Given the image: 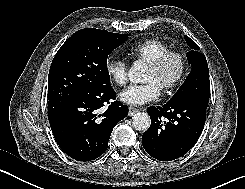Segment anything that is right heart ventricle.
<instances>
[{
	"label": "right heart ventricle",
	"mask_w": 245,
	"mask_h": 189,
	"mask_svg": "<svg viewBox=\"0 0 245 189\" xmlns=\"http://www.w3.org/2000/svg\"><path fill=\"white\" fill-rule=\"evenodd\" d=\"M168 51L170 48L165 42L159 39H148L131 46L127 55L135 61L149 64Z\"/></svg>",
	"instance_id": "e07e8e85"
}]
</instances>
